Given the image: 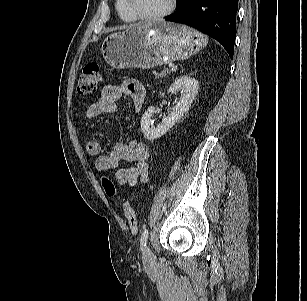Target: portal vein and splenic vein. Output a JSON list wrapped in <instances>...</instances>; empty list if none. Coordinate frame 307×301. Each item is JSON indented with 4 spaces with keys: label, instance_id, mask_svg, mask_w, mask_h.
Masks as SVG:
<instances>
[{
    "label": "portal vein and splenic vein",
    "instance_id": "obj_1",
    "mask_svg": "<svg viewBox=\"0 0 307 301\" xmlns=\"http://www.w3.org/2000/svg\"><path fill=\"white\" fill-rule=\"evenodd\" d=\"M169 67H170V68H174V64H172V63L169 64Z\"/></svg>",
    "mask_w": 307,
    "mask_h": 301
}]
</instances>
